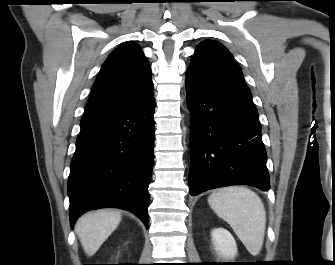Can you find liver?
<instances>
[{"instance_id":"liver-1","label":"liver","mask_w":335,"mask_h":265,"mask_svg":"<svg viewBox=\"0 0 335 265\" xmlns=\"http://www.w3.org/2000/svg\"><path fill=\"white\" fill-rule=\"evenodd\" d=\"M121 222L116 210L91 211L81 216L75 225L84 252L93 256Z\"/></svg>"}]
</instances>
